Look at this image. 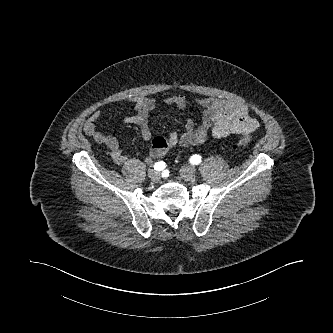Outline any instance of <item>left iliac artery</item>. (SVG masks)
Returning a JSON list of instances; mask_svg holds the SVG:
<instances>
[{"label": "left iliac artery", "mask_w": 333, "mask_h": 333, "mask_svg": "<svg viewBox=\"0 0 333 333\" xmlns=\"http://www.w3.org/2000/svg\"><path fill=\"white\" fill-rule=\"evenodd\" d=\"M190 162L193 163V164H199L201 162V156L200 155H193L190 159Z\"/></svg>", "instance_id": "obj_1"}]
</instances>
